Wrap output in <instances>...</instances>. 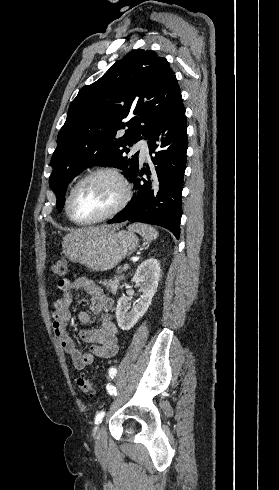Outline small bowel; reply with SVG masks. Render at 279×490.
I'll return each mask as SVG.
<instances>
[{"label":"small bowel","mask_w":279,"mask_h":490,"mask_svg":"<svg viewBox=\"0 0 279 490\" xmlns=\"http://www.w3.org/2000/svg\"><path fill=\"white\" fill-rule=\"evenodd\" d=\"M57 286L61 291V296L52 305V331L71 358L73 367L76 370H82L93 363L94 357L99 359L113 357L118 349L117 326L109 315L114 304L113 299L87 278H78L74 281L60 279ZM74 292H82L90 297L89 310L78 314L81 324L90 323L92 314L101 316L99 327L83 329L79 332L80 338L90 344L89 352H82L66 329L71 319L70 305Z\"/></svg>","instance_id":"small-bowel-1"}]
</instances>
